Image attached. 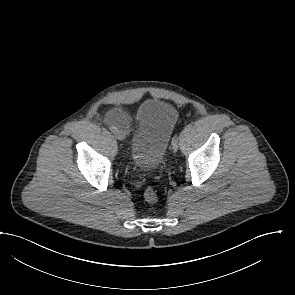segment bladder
<instances>
[{
  "mask_svg": "<svg viewBox=\"0 0 295 295\" xmlns=\"http://www.w3.org/2000/svg\"><path fill=\"white\" fill-rule=\"evenodd\" d=\"M176 119L175 107L161 99L139 107L131 134V158L138 168L152 171L160 166Z\"/></svg>",
  "mask_w": 295,
  "mask_h": 295,
  "instance_id": "obj_1",
  "label": "bladder"
}]
</instances>
